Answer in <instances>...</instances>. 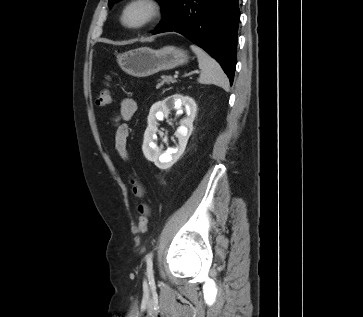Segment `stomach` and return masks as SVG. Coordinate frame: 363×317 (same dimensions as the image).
Wrapping results in <instances>:
<instances>
[{
    "label": "stomach",
    "instance_id": "1",
    "mask_svg": "<svg viewBox=\"0 0 363 317\" xmlns=\"http://www.w3.org/2000/svg\"><path fill=\"white\" fill-rule=\"evenodd\" d=\"M117 62L127 74L147 77L159 71L173 69L188 62L186 51L165 46L161 49L140 47L117 56Z\"/></svg>",
    "mask_w": 363,
    "mask_h": 317
}]
</instances>
